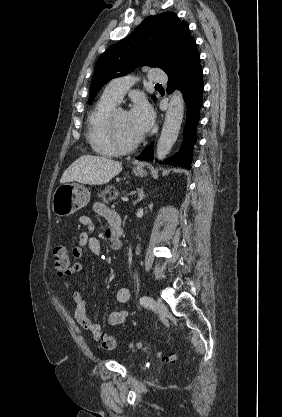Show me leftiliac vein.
Listing matches in <instances>:
<instances>
[{
  "label": "left iliac vein",
  "instance_id": "left-iliac-vein-1",
  "mask_svg": "<svg viewBox=\"0 0 282 417\" xmlns=\"http://www.w3.org/2000/svg\"><path fill=\"white\" fill-rule=\"evenodd\" d=\"M156 306L160 316H165L167 314V307L160 299L156 301Z\"/></svg>",
  "mask_w": 282,
  "mask_h": 417
}]
</instances>
